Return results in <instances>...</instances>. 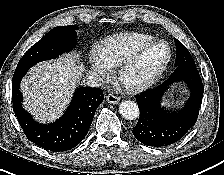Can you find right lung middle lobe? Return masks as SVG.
<instances>
[{
  "label": "right lung middle lobe",
  "instance_id": "dd1d6c3e",
  "mask_svg": "<svg viewBox=\"0 0 224 175\" xmlns=\"http://www.w3.org/2000/svg\"><path fill=\"white\" fill-rule=\"evenodd\" d=\"M77 26H58L50 30L41 40L35 43L20 59L18 65H34L43 60L58 57L75 48L77 43Z\"/></svg>",
  "mask_w": 224,
  "mask_h": 175
}]
</instances>
